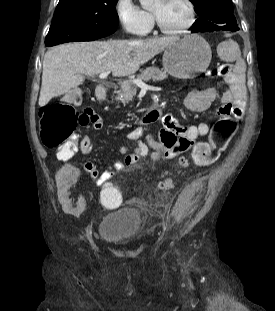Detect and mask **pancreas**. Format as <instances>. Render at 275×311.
Instances as JSON below:
<instances>
[{
	"label": "pancreas",
	"mask_w": 275,
	"mask_h": 311,
	"mask_svg": "<svg viewBox=\"0 0 275 311\" xmlns=\"http://www.w3.org/2000/svg\"><path fill=\"white\" fill-rule=\"evenodd\" d=\"M168 75L166 72L156 68V67H149L142 71L141 74L137 75L136 80L141 81H162L166 79ZM137 93V86L133 82H127L124 84H121L120 90L118 91L117 100L123 103L124 105L128 103L129 101H132Z\"/></svg>",
	"instance_id": "pancreas-1"
}]
</instances>
